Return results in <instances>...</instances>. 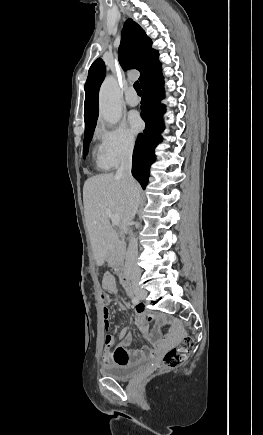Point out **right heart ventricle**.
Masks as SVG:
<instances>
[{"label":"right heart ventricle","mask_w":263,"mask_h":435,"mask_svg":"<svg viewBox=\"0 0 263 435\" xmlns=\"http://www.w3.org/2000/svg\"><path fill=\"white\" fill-rule=\"evenodd\" d=\"M93 156L96 161V166L100 170H107L111 167V165L107 162L104 157L101 145H96L93 149Z\"/></svg>","instance_id":"1"}]
</instances>
